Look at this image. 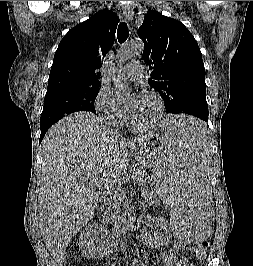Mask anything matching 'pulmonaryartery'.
I'll return each mask as SVG.
<instances>
[{
    "label": "pulmonary artery",
    "instance_id": "obj_1",
    "mask_svg": "<svg viewBox=\"0 0 253 266\" xmlns=\"http://www.w3.org/2000/svg\"><path fill=\"white\" fill-rule=\"evenodd\" d=\"M144 66L140 61L133 60L119 70V75L124 79L135 80L143 74Z\"/></svg>",
    "mask_w": 253,
    "mask_h": 266
}]
</instances>
